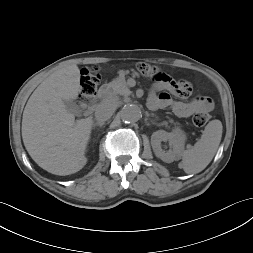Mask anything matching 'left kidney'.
<instances>
[{
	"mask_svg": "<svg viewBox=\"0 0 253 253\" xmlns=\"http://www.w3.org/2000/svg\"><path fill=\"white\" fill-rule=\"evenodd\" d=\"M185 139L186 136L180 129H174L170 133L158 130L152 134L151 144L156 157L166 163H171L181 157ZM161 142H168L170 149L164 151L161 147Z\"/></svg>",
	"mask_w": 253,
	"mask_h": 253,
	"instance_id": "left-kidney-1",
	"label": "left kidney"
}]
</instances>
